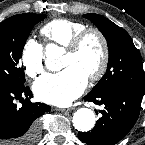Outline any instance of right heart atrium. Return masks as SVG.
Listing matches in <instances>:
<instances>
[{"label":"right heart atrium","mask_w":145,"mask_h":145,"mask_svg":"<svg viewBox=\"0 0 145 145\" xmlns=\"http://www.w3.org/2000/svg\"><path fill=\"white\" fill-rule=\"evenodd\" d=\"M21 62L29 77L41 75L45 69L42 45L34 39L28 40L21 53Z\"/></svg>","instance_id":"d8ad5b80"}]
</instances>
